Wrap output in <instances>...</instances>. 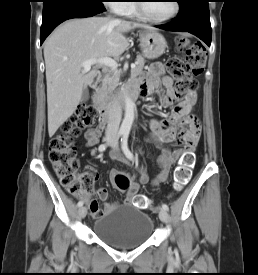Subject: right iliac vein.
<instances>
[{
  "instance_id": "right-iliac-vein-1",
  "label": "right iliac vein",
  "mask_w": 258,
  "mask_h": 275,
  "mask_svg": "<svg viewBox=\"0 0 258 275\" xmlns=\"http://www.w3.org/2000/svg\"><path fill=\"white\" fill-rule=\"evenodd\" d=\"M107 142H108V143H111V140L108 139ZM86 214H87V208H86V207H81V208L79 209V216H80L81 218H84V217L86 216Z\"/></svg>"
}]
</instances>
